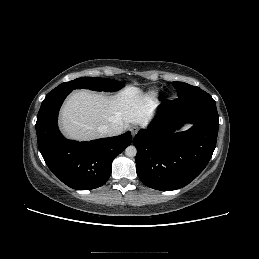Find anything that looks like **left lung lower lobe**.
<instances>
[{
	"label": "left lung lower lobe",
	"mask_w": 259,
	"mask_h": 259,
	"mask_svg": "<svg viewBox=\"0 0 259 259\" xmlns=\"http://www.w3.org/2000/svg\"><path fill=\"white\" fill-rule=\"evenodd\" d=\"M193 126L175 132L185 123ZM219 116L213 99L165 100L147 129L133 139L136 171L150 188L169 191L193 181L216 147Z\"/></svg>",
	"instance_id": "1"
}]
</instances>
